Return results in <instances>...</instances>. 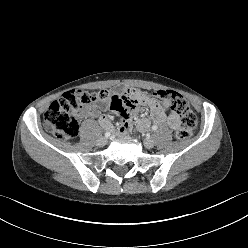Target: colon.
<instances>
[{
  "instance_id": "obj_1",
  "label": "colon",
  "mask_w": 248,
  "mask_h": 248,
  "mask_svg": "<svg viewBox=\"0 0 248 248\" xmlns=\"http://www.w3.org/2000/svg\"><path fill=\"white\" fill-rule=\"evenodd\" d=\"M109 97L105 90L92 92L87 90H70L53 102L44 114L45 129L60 140H70L78 134V116L93 103ZM153 99L166 101L181 116L182 126L176 131L180 140L191 136L197 125V116L191 110L187 100L175 91H157Z\"/></svg>"
}]
</instances>
